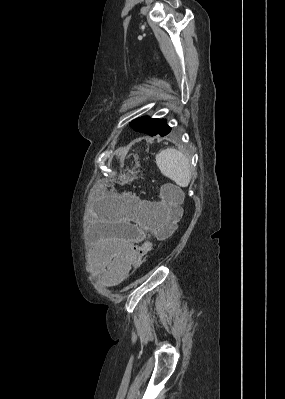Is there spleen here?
I'll use <instances>...</instances> for the list:
<instances>
[{
	"mask_svg": "<svg viewBox=\"0 0 285 399\" xmlns=\"http://www.w3.org/2000/svg\"><path fill=\"white\" fill-rule=\"evenodd\" d=\"M156 164L161 173L180 187H187L191 179V166L188 157L174 148L160 151Z\"/></svg>",
	"mask_w": 285,
	"mask_h": 399,
	"instance_id": "obj_1",
	"label": "spleen"
}]
</instances>
